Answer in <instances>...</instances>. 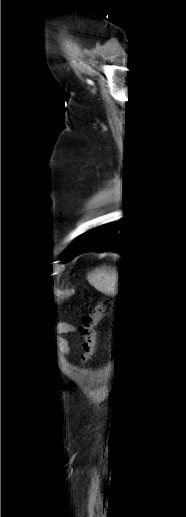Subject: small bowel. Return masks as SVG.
I'll list each match as a JSON object with an SVG mask.
<instances>
[{"label":"small bowel","instance_id":"obj_1","mask_svg":"<svg viewBox=\"0 0 186 517\" xmlns=\"http://www.w3.org/2000/svg\"><path fill=\"white\" fill-rule=\"evenodd\" d=\"M74 332H75V328L71 324H68V323H61L56 328L55 333H56L58 345H59L61 351L65 354H69L70 348H69V344H68L67 340H65L62 336L66 335V334H72Z\"/></svg>","mask_w":186,"mask_h":517}]
</instances>
